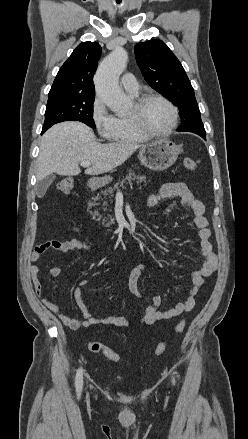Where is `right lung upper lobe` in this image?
Segmentation results:
<instances>
[{
    "instance_id": "cb5924a9",
    "label": "right lung upper lobe",
    "mask_w": 248,
    "mask_h": 439,
    "mask_svg": "<svg viewBox=\"0 0 248 439\" xmlns=\"http://www.w3.org/2000/svg\"><path fill=\"white\" fill-rule=\"evenodd\" d=\"M101 55L97 42H83L60 68L49 96L61 94H94L93 75Z\"/></svg>"
}]
</instances>
